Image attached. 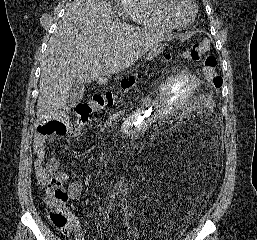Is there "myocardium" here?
<instances>
[{
	"instance_id": "myocardium-1",
	"label": "myocardium",
	"mask_w": 257,
	"mask_h": 240,
	"mask_svg": "<svg viewBox=\"0 0 257 240\" xmlns=\"http://www.w3.org/2000/svg\"><path fill=\"white\" fill-rule=\"evenodd\" d=\"M157 1V9H158V12L161 16V18L169 25L171 26L172 28H175V29H184L188 26H190L196 16H197V12H198V7H197V3L195 0H189L191 5H192V15H191V18L184 24H178L176 22H174L168 15L167 11H166V0H156Z\"/></svg>"
}]
</instances>
